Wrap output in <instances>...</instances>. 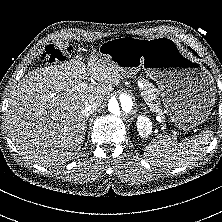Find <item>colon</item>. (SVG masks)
Returning a JSON list of instances; mask_svg holds the SVG:
<instances>
[{"mask_svg":"<svg viewBox=\"0 0 222 222\" xmlns=\"http://www.w3.org/2000/svg\"><path fill=\"white\" fill-rule=\"evenodd\" d=\"M42 58L44 62L52 64L63 60L65 58V53L64 51L50 45L46 47Z\"/></svg>","mask_w":222,"mask_h":222,"instance_id":"5ec220e1","label":"colon"}]
</instances>
